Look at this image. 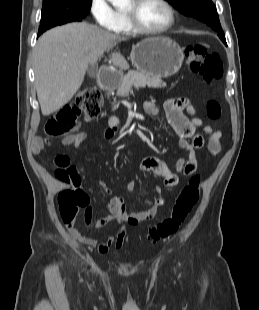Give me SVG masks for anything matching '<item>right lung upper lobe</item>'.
I'll list each match as a JSON object with an SVG mask.
<instances>
[{
  "label": "right lung upper lobe",
  "mask_w": 259,
  "mask_h": 310,
  "mask_svg": "<svg viewBox=\"0 0 259 310\" xmlns=\"http://www.w3.org/2000/svg\"><path fill=\"white\" fill-rule=\"evenodd\" d=\"M54 1V0H43V2Z\"/></svg>",
  "instance_id": "right-lung-upper-lobe-1"
}]
</instances>
